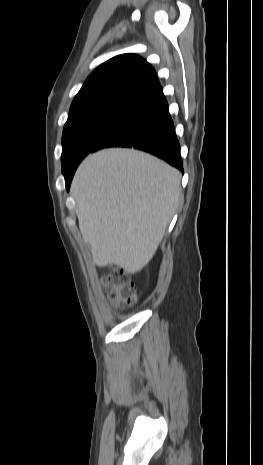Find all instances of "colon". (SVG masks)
Instances as JSON below:
<instances>
[{
	"mask_svg": "<svg viewBox=\"0 0 263 465\" xmlns=\"http://www.w3.org/2000/svg\"><path fill=\"white\" fill-rule=\"evenodd\" d=\"M110 290V299L117 303H133L136 300V286L121 268H112L104 279Z\"/></svg>",
	"mask_w": 263,
	"mask_h": 465,
	"instance_id": "colon-1",
	"label": "colon"
}]
</instances>
